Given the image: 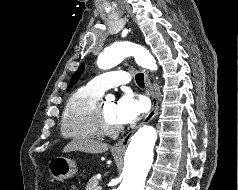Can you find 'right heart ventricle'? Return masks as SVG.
Returning <instances> with one entry per match:
<instances>
[{"mask_svg": "<svg viewBox=\"0 0 238 190\" xmlns=\"http://www.w3.org/2000/svg\"><path fill=\"white\" fill-rule=\"evenodd\" d=\"M101 95L102 93L84 86L70 96L61 119L63 136L87 140L101 135L94 120L95 108Z\"/></svg>", "mask_w": 238, "mask_h": 190, "instance_id": "right-heart-ventricle-1", "label": "right heart ventricle"}]
</instances>
